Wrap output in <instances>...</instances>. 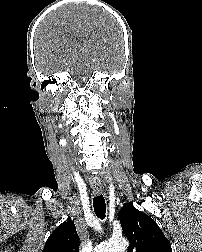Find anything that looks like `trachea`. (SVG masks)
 <instances>
[{
    "mask_svg": "<svg viewBox=\"0 0 202 252\" xmlns=\"http://www.w3.org/2000/svg\"><path fill=\"white\" fill-rule=\"evenodd\" d=\"M93 207L97 217L101 220L105 219L106 204L105 199L102 195L93 198Z\"/></svg>",
    "mask_w": 202,
    "mask_h": 252,
    "instance_id": "obj_1",
    "label": "trachea"
}]
</instances>
